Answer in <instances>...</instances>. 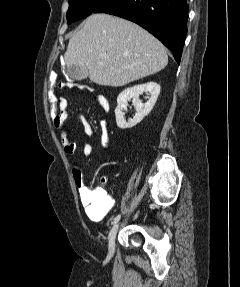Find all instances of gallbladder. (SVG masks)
Here are the masks:
<instances>
[{"label": "gallbladder", "mask_w": 240, "mask_h": 287, "mask_svg": "<svg viewBox=\"0 0 240 287\" xmlns=\"http://www.w3.org/2000/svg\"><path fill=\"white\" fill-rule=\"evenodd\" d=\"M88 75L89 73L86 67L74 65L71 67H66L65 69V76L70 81H80L86 79Z\"/></svg>", "instance_id": "obj_1"}]
</instances>
